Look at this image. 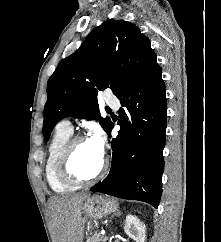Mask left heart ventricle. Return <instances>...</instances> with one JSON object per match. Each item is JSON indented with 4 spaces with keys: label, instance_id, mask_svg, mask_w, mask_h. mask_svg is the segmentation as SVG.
Here are the masks:
<instances>
[{
    "label": "left heart ventricle",
    "instance_id": "1",
    "mask_svg": "<svg viewBox=\"0 0 221 242\" xmlns=\"http://www.w3.org/2000/svg\"><path fill=\"white\" fill-rule=\"evenodd\" d=\"M103 155L99 154L88 140L77 144L73 159L72 168L74 172L84 178L93 176L99 169Z\"/></svg>",
    "mask_w": 221,
    "mask_h": 242
}]
</instances>
